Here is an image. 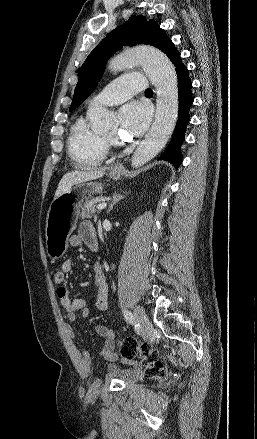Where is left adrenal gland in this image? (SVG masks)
I'll return each mask as SVG.
<instances>
[{
  "mask_svg": "<svg viewBox=\"0 0 257 439\" xmlns=\"http://www.w3.org/2000/svg\"><path fill=\"white\" fill-rule=\"evenodd\" d=\"M123 198H124L123 195L115 193L113 195V199H112V201L110 203V206H109V209H108L107 213H110V211L113 209L114 205H116Z\"/></svg>",
  "mask_w": 257,
  "mask_h": 439,
  "instance_id": "a2214340",
  "label": "left adrenal gland"
}]
</instances>
